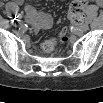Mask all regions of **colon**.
<instances>
[{
	"label": "colon",
	"mask_w": 103,
	"mask_h": 103,
	"mask_svg": "<svg viewBox=\"0 0 103 103\" xmlns=\"http://www.w3.org/2000/svg\"><path fill=\"white\" fill-rule=\"evenodd\" d=\"M86 9V2L83 0H75L70 4L69 8V18L74 26L78 25L82 22L84 13ZM67 40V33L66 31L61 34L60 41L64 42ZM57 45V41L54 39L46 40L43 45L42 49L44 53L52 52Z\"/></svg>",
	"instance_id": "1"
}]
</instances>
